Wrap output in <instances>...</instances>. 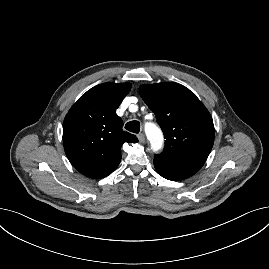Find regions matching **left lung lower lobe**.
<instances>
[{"instance_id": "left-lung-lower-lobe-1", "label": "left lung lower lobe", "mask_w": 269, "mask_h": 269, "mask_svg": "<svg viewBox=\"0 0 269 269\" xmlns=\"http://www.w3.org/2000/svg\"><path fill=\"white\" fill-rule=\"evenodd\" d=\"M203 161L195 159H180L174 157L154 156L156 171L164 178L172 181L183 180L201 169Z\"/></svg>"}]
</instances>
